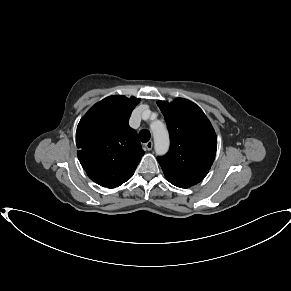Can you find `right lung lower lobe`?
<instances>
[{
  "mask_svg": "<svg viewBox=\"0 0 291 291\" xmlns=\"http://www.w3.org/2000/svg\"><path fill=\"white\" fill-rule=\"evenodd\" d=\"M115 187H117V186H114V187H108V188H115Z\"/></svg>",
  "mask_w": 291,
  "mask_h": 291,
  "instance_id": "1",
  "label": "right lung lower lobe"
}]
</instances>
